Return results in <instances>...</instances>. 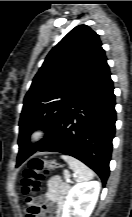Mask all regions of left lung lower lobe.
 Returning <instances> with one entry per match:
<instances>
[{"label":"left lung lower lobe","instance_id":"obj_1","mask_svg":"<svg viewBox=\"0 0 132 217\" xmlns=\"http://www.w3.org/2000/svg\"><path fill=\"white\" fill-rule=\"evenodd\" d=\"M113 90L109 66L105 61L33 153L51 151L73 156L93 169L105 185L115 133ZM18 144L16 166L33 154L27 153L22 139L18 140Z\"/></svg>","mask_w":132,"mask_h":217}]
</instances>
